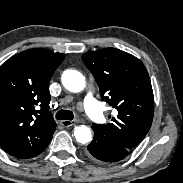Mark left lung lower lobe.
Returning <instances> with one entry per match:
<instances>
[{"instance_id":"obj_1","label":"left lung lower lobe","mask_w":183,"mask_h":183,"mask_svg":"<svg viewBox=\"0 0 183 183\" xmlns=\"http://www.w3.org/2000/svg\"><path fill=\"white\" fill-rule=\"evenodd\" d=\"M93 141L87 146L86 155L99 163L109 164L124 159L130 152L129 149L109 140L99 131L93 129Z\"/></svg>"}]
</instances>
